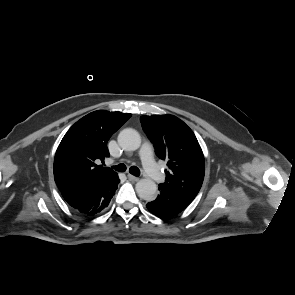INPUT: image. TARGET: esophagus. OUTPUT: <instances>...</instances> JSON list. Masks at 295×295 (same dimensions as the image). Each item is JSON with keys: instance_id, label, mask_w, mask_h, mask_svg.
Masks as SVG:
<instances>
[{"instance_id": "34e87169", "label": "esophagus", "mask_w": 295, "mask_h": 295, "mask_svg": "<svg viewBox=\"0 0 295 295\" xmlns=\"http://www.w3.org/2000/svg\"><path fill=\"white\" fill-rule=\"evenodd\" d=\"M128 179H129L130 181H133V182H136V181H138V180H139V178H138V177H136V176H133V175H131V174H128Z\"/></svg>"}]
</instances>
